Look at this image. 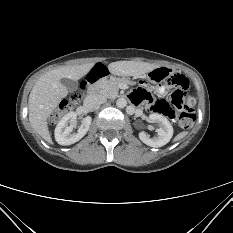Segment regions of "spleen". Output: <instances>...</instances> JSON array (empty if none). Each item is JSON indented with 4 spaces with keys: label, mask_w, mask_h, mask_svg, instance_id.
<instances>
[{
    "label": "spleen",
    "mask_w": 233,
    "mask_h": 233,
    "mask_svg": "<svg viewBox=\"0 0 233 233\" xmlns=\"http://www.w3.org/2000/svg\"><path fill=\"white\" fill-rule=\"evenodd\" d=\"M188 132L186 131H183V132H180L174 139V141H179L183 138H185L187 136Z\"/></svg>",
    "instance_id": "spleen-1"
}]
</instances>
